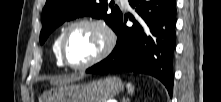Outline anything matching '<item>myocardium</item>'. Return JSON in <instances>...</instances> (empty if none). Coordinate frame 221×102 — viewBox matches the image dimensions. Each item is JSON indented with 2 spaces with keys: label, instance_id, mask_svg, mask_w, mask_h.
Instances as JSON below:
<instances>
[{
  "label": "myocardium",
  "instance_id": "1",
  "mask_svg": "<svg viewBox=\"0 0 221 102\" xmlns=\"http://www.w3.org/2000/svg\"><path fill=\"white\" fill-rule=\"evenodd\" d=\"M80 25H87L97 29L102 36L103 44L100 51L92 59L80 65H73L69 63L66 58L65 43L69 32L74 27ZM115 44H116V35L112 27L106 21L95 17H81L70 22L63 30L59 44V55L61 62L64 66L74 70H85L104 60L112 52Z\"/></svg>",
  "mask_w": 221,
  "mask_h": 102
}]
</instances>
